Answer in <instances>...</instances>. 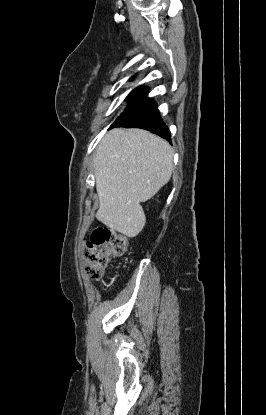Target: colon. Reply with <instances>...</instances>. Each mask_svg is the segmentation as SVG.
<instances>
[{
    "mask_svg": "<svg viewBox=\"0 0 266 415\" xmlns=\"http://www.w3.org/2000/svg\"><path fill=\"white\" fill-rule=\"evenodd\" d=\"M128 245V238L105 227L93 230L84 244L86 272L93 279H100L112 258L122 256Z\"/></svg>",
    "mask_w": 266,
    "mask_h": 415,
    "instance_id": "5ec220e1",
    "label": "colon"
}]
</instances>
